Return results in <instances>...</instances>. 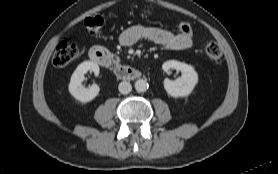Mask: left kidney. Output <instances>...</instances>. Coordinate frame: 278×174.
I'll return each mask as SVG.
<instances>
[{"label":"left kidney","mask_w":278,"mask_h":174,"mask_svg":"<svg viewBox=\"0 0 278 174\" xmlns=\"http://www.w3.org/2000/svg\"><path fill=\"white\" fill-rule=\"evenodd\" d=\"M162 69L168 72L170 69L181 71V77L176 80L166 78L164 88L166 92L175 98L188 96L198 83V74L191 65L176 60H169L163 63Z\"/></svg>","instance_id":"left-kidney-1"}]
</instances>
